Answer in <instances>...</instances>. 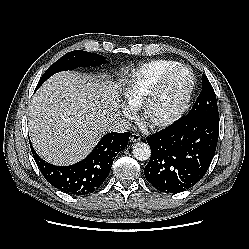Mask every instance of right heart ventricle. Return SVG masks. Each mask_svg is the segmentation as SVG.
<instances>
[{
    "label": "right heart ventricle",
    "mask_w": 249,
    "mask_h": 249,
    "mask_svg": "<svg viewBox=\"0 0 249 249\" xmlns=\"http://www.w3.org/2000/svg\"><path fill=\"white\" fill-rule=\"evenodd\" d=\"M174 60H153L132 70L124 79L122 96L130 108H139L156 87L161 76L178 65Z\"/></svg>",
    "instance_id": "1"
}]
</instances>
